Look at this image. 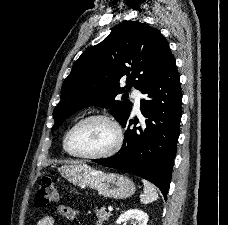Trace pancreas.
I'll use <instances>...</instances> for the list:
<instances>
[{"label": "pancreas", "instance_id": "obj_1", "mask_svg": "<svg viewBox=\"0 0 228 225\" xmlns=\"http://www.w3.org/2000/svg\"><path fill=\"white\" fill-rule=\"evenodd\" d=\"M96 217L98 219L96 225H103L104 221H108L110 213H106L105 209H95Z\"/></svg>", "mask_w": 228, "mask_h": 225}]
</instances>
